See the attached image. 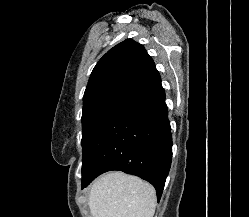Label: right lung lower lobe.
<instances>
[{
  "label": "right lung lower lobe",
  "instance_id": "right-lung-lower-lobe-1",
  "mask_svg": "<svg viewBox=\"0 0 249 217\" xmlns=\"http://www.w3.org/2000/svg\"><path fill=\"white\" fill-rule=\"evenodd\" d=\"M172 160V136L161 78L154 68L108 109L82 160V188L120 170L150 182L161 198Z\"/></svg>",
  "mask_w": 249,
  "mask_h": 217
}]
</instances>
